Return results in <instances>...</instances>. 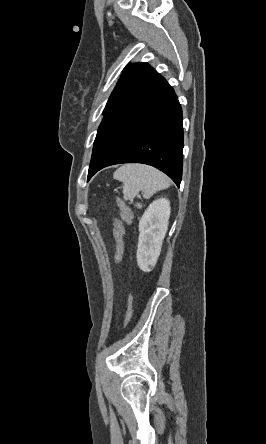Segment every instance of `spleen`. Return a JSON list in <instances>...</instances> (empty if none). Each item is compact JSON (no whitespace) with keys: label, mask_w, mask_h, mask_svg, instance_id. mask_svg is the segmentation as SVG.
I'll return each mask as SVG.
<instances>
[{"label":"spleen","mask_w":266,"mask_h":444,"mask_svg":"<svg viewBox=\"0 0 266 444\" xmlns=\"http://www.w3.org/2000/svg\"><path fill=\"white\" fill-rule=\"evenodd\" d=\"M114 179L123 183V197L132 201L140 192L143 197L149 199L154 193L169 187V178L159 170L143 164H126L118 168L114 173ZM141 208L142 205L137 203Z\"/></svg>","instance_id":"obj_1"}]
</instances>
